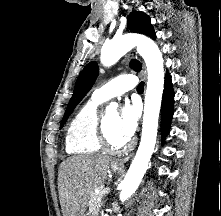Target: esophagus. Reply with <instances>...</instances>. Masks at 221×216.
<instances>
[{
  "label": "esophagus",
  "instance_id": "34e87169",
  "mask_svg": "<svg viewBox=\"0 0 221 216\" xmlns=\"http://www.w3.org/2000/svg\"><path fill=\"white\" fill-rule=\"evenodd\" d=\"M144 75L146 77V70L145 69H144ZM130 157L131 156H127V157H124L122 159H117V160H115L114 164L119 165V166H124L125 163L129 161Z\"/></svg>",
  "mask_w": 221,
  "mask_h": 216
}]
</instances>
